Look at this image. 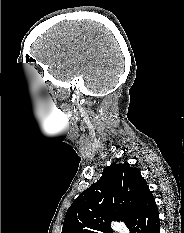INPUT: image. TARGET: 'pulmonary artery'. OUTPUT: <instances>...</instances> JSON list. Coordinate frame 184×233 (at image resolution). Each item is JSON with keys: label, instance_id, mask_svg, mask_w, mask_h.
I'll use <instances>...</instances> for the list:
<instances>
[{"label": "pulmonary artery", "instance_id": "obj_1", "mask_svg": "<svg viewBox=\"0 0 184 233\" xmlns=\"http://www.w3.org/2000/svg\"><path fill=\"white\" fill-rule=\"evenodd\" d=\"M116 231L118 233H129L128 229L126 228V226L122 223H118Z\"/></svg>", "mask_w": 184, "mask_h": 233}]
</instances>
